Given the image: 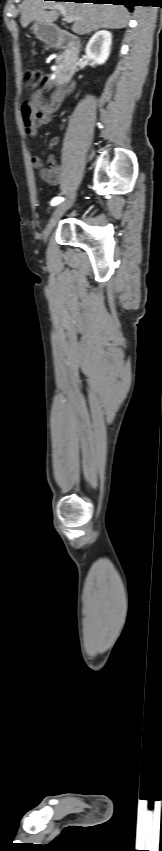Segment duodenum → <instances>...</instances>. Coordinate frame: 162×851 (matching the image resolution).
I'll list each match as a JSON object with an SVG mask.
<instances>
[{
    "label": "duodenum",
    "instance_id": "1",
    "mask_svg": "<svg viewBox=\"0 0 162 851\" xmlns=\"http://www.w3.org/2000/svg\"><path fill=\"white\" fill-rule=\"evenodd\" d=\"M49 43L51 46L62 47L68 50L69 56L67 66H65V68L61 71L60 77L61 83L65 84L66 81L72 79V76L78 67L81 49L80 41L71 33L62 29H57L51 33Z\"/></svg>",
    "mask_w": 162,
    "mask_h": 851
}]
</instances>
